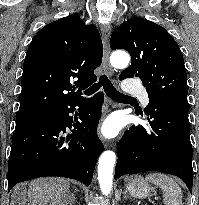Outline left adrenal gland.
I'll return each mask as SVG.
<instances>
[{"label":"left adrenal gland","mask_w":199,"mask_h":205,"mask_svg":"<svg viewBox=\"0 0 199 205\" xmlns=\"http://www.w3.org/2000/svg\"><path fill=\"white\" fill-rule=\"evenodd\" d=\"M124 198H125V199H127V198L131 199V198L127 195L126 192H124Z\"/></svg>","instance_id":"left-adrenal-gland-1"}]
</instances>
